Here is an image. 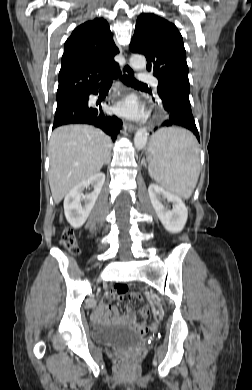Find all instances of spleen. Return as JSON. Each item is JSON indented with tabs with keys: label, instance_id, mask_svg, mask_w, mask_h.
<instances>
[{
	"label": "spleen",
	"instance_id": "spleen-1",
	"mask_svg": "<svg viewBox=\"0 0 252 390\" xmlns=\"http://www.w3.org/2000/svg\"><path fill=\"white\" fill-rule=\"evenodd\" d=\"M148 152L150 176L169 192L190 198L200 174L195 137L181 128L161 129L152 136Z\"/></svg>",
	"mask_w": 252,
	"mask_h": 390
}]
</instances>
